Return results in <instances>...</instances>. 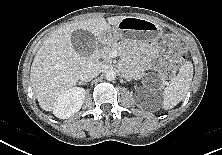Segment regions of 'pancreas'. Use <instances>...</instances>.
I'll return each instance as SVG.
<instances>
[{
    "instance_id": "1",
    "label": "pancreas",
    "mask_w": 222,
    "mask_h": 155,
    "mask_svg": "<svg viewBox=\"0 0 222 155\" xmlns=\"http://www.w3.org/2000/svg\"><path fill=\"white\" fill-rule=\"evenodd\" d=\"M119 48H120L119 45L114 44L104 49H100L96 52L95 57L98 59H102L103 63L105 64H111L112 58L110 53L114 50H119ZM127 61H128V70H127L128 76L134 77L143 71V68L136 62L132 61L129 57L127 58ZM159 75L163 77V73L161 71H159Z\"/></svg>"
}]
</instances>
